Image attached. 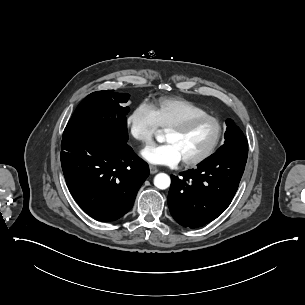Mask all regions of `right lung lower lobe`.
I'll list each match as a JSON object with an SVG mask.
<instances>
[{
    "label": "right lung lower lobe",
    "instance_id": "right-lung-lower-lobe-1",
    "mask_svg": "<svg viewBox=\"0 0 305 305\" xmlns=\"http://www.w3.org/2000/svg\"><path fill=\"white\" fill-rule=\"evenodd\" d=\"M66 184L78 205L96 220L120 219L133 206L149 167L126 143L77 138L61 143Z\"/></svg>",
    "mask_w": 305,
    "mask_h": 305
}]
</instances>
